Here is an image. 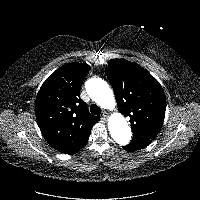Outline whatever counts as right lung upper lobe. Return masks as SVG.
<instances>
[{"label":"right lung upper lobe","instance_id":"1","mask_svg":"<svg viewBox=\"0 0 200 200\" xmlns=\"http://www.w3.org/2000/svg\"><path fill=\"white\" fill-rule=\"evenodd\" d=\"M88 70L85 63L65 64L47 78L38 92L35 101L38 125L48 144L59 152H78L100 120L89 113L80 98V87Z\"/></svg>","mask_w":200,"mask_h":200}]
</instances>
